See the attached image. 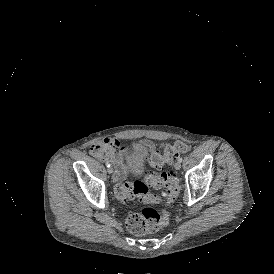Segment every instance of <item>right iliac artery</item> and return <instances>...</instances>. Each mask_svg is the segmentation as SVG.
Returning <instances> with one entry per match:
<instances>
[{
  "mask_svg": "<svg viewBox=\"0 0 274 274\" xmlns=\"http://www.w3.org/2000/svg\"><path fill=\"white\" fill-rule=\"evenodd\" d=\"M106 166H107V167H110V166H111V164L107 162V163H106Z\"/></svg>",
  "mask_w": 274,
  "mask_h": 274,
  "instance_id": "82829eb1",
  "label": "right iliac artery"
}]
</instances>
